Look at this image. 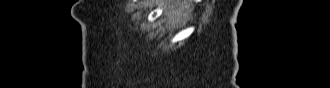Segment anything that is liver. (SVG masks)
I'll use <instances>...</instances> for the list:
<instances>
[{
	"mask_svg": "<svg viewBox=\"0 0 330 88\" xmlns=\"http://www.w3.org/2000/svg\"><path fill=\"white\" fill-rule=\"evenodd\" d=\"M169 9L171 16L180 17L182 15H187L191 10V6L190 4L183 5L177 3L172 5V7L169 5Z\"/></svg>",
	"mask_w": 330,
	"mask_h": 88,
	"instance_id": "1",
	"label": "liver"
}]
</instances>
